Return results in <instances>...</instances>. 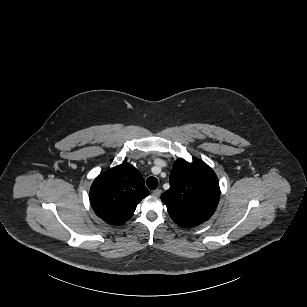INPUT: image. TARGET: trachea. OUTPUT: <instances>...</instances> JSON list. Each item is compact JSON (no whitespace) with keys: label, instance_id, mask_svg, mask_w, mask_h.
Listing matches in <instances>:
<instances>
[{"label":"trachea","instance_id":"trachea-1","mask_svg":"<svg viewBox=\"0 0 307 307\" xmlns=\"http://www.w3.org/2000/svg\"><path fill=\"white\" fill-rule=\"evenodd\" d=\"M146 185L148 186L149 189L154 190L158 186V180L155 177H149L146 180Z\"/></svg>","mask_w":307,"mask_h":307}]
</instances>
